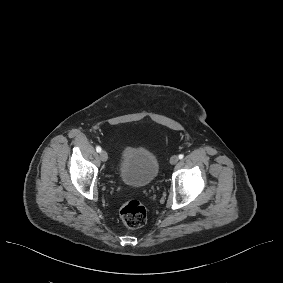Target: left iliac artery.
I'll return each mask as SVG.
<instances>
[{
  "label": "left iliac artery",
  "mask_w": 283,
  "mask_h": 283,
  "mask_svg": "<svg viewBox=\"0 0 283 283\" xmlns=\"http://www.w3.org/2000/svg\"><path fill=\"white\" fill-rule=\"evenodd\" d=\"M179 159H183L184 158V155L183 154H179Z\"/></svg>",
  "instance_id": "44dca946"
}]
</instances>
